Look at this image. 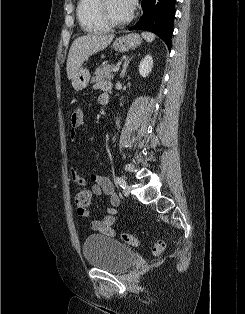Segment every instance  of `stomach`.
I'll use <instances>...</instances> for the list:
<instances>
[{
    "mask_svg": "<svg viewBox=\"0 0 245 314\" xmlns=\"http://www.w3.org/2000/svg\"><path fill=\"white\" fill-rule=\"evenodd\" d=\"M141 43V37L138 34L130 33L119 37L113 43V49L117 52H126ZM90 79L89 70L80 68L72 78V86L76 91H82L88 86Z\"/></svg>",
    "mask_w": 245,
    "mask_h": 314,
    "instance_id": "stomach-1",
    "label": "stomach"
}]
</instances>
